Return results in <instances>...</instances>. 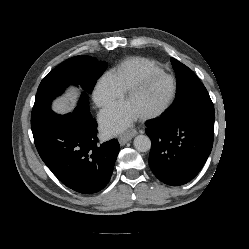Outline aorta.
Instances as JSON below:
<instances>
[{"label": "aorta", "instance_id": "1", "mask_svg": "<svg viewBox=\"0 0 249 249\" xmlns=\"http://www.w3.org/2000/svg\"><path fill=\"white\" fill-rule=\"evenodd\" d=\"M134 147L139 152H147L151 148V140L146 135H138L134 138Z\"/></svg>", "mask_w": 249, "mask_h": 249}]
</instances>
